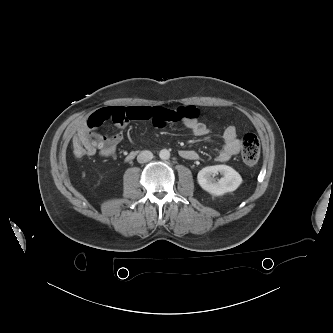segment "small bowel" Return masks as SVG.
<instances>
[{"label": "small bowel", "instance_id": "obj_1", "mask_svg": "<svg viewBox=\"0 0 333 333\" xmlns=\"http://www.w3.org/2000/svg\"><path fill=\"white\" fill-rule=\"evenodd\" d=\"M132 120H150L157 127L182 122L195 136L202 137L208 133L206 125L199 121L195 107L186 106L169 109L162 106H114L100 109L88 117L77 131L76 137L85 148V155L93 156L98 153L102 157H112L123 139L122 130ZM111 121L118 131L112 135H101L95 132L103 123ZM223 146L217 156L220 162H226L241 150V142L234 126H228L223 132ZM180 155L185 159H195L196 153L184 149Z\"/></svg>", "mask_w": 333, "mask_h": 333}]
</instances>
